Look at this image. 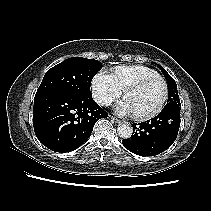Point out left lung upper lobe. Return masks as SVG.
I'll use <instances>...</instances> for the list:
<instances>
[{
  "instance_id": "1",
  "label": "left lung upper lobe",
  "mask_w": 211,
  "mask_h": 211,
  "mask_svg": "<svg viewBox=\"0 0 211 211\" xmlns=\"http://www.w3.org/2000/svg\"><path fill=\"white\" fill-rule=\"evenodd\" d=\"M156 65L161 69L162 73L164 74L168 83V87H169L168 101H167L166 106L163 108V110H166V109L180 110L181 103H180L175 80L166 72V70L163 67H161L159 64H156Z\"/></svg>"
}]
</instances>
